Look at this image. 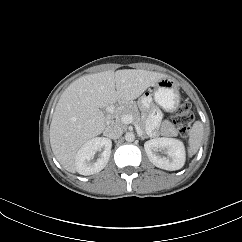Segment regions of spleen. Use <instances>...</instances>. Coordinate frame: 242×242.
I'll list each match as a JSON object with an SVG mask.
<instances>
[{"label": "spleen", "mask_w": 242, "mask_h": 242, "mask_svg": "<svg viewBox=\"0 0 242 242\" xmlns=\"http://www.w3.org/2000/svg\"><path fill=\"white\" fill-rule=\"evenodd\" d=\"M202 137H203V125L200 121H196L189 133V156L194 155L200 145H201V141H202Z\"/></svg>", "instance_id": "obj_1"}]
</instances>
